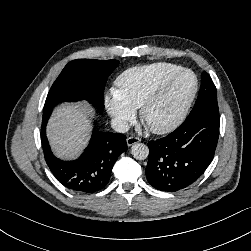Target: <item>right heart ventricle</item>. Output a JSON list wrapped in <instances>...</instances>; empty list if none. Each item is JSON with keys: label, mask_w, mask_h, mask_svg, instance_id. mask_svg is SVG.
I'll return each instance as SVG.
<instances>
[{"label": "right heart ventricle", "mask_w": 251, "mask_h": 251, "mask_svg": "<svg viewBox=\"0 0 251 251\" xmlns=\"http://www.w3.org/2000/svg\"><path fill=\"white\" fill-rule=\"evenodd\" d=\"M180 69L181 66L167 62L129 68L116 78L115 91L127 105L136 110L162 80Z\"/></svg>", "instance_id": "1"}]
</instances>
